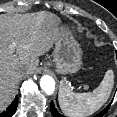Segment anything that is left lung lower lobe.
Segmentation results:
<instances>
[{
  "label": "left lung lower lobe",
  "instance_id": "left-lung-lower-lobe-1",
  "mask_svg": "<svg viewBox=\"0 0 117 117\" xmlns=\"http://www.w3.org/2000/svg\"><path fill=\"white\" fill-rule=\"evenodd\" d=\"M109 108H110V104L104 110H102L100 113L95 115L94 117H102L108 111ZM50 109H51V113H52L53 117H64L55 109L52 101H51V108Z\"/></svg>",
  "mask_w": 117,
  "mask_h": 117
}]
</instances>
